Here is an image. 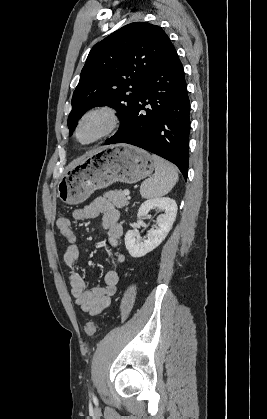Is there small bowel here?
I'll use <instances>...</instances> for the list:
<instances>
[{"mask_svg": "<svg viewBox=\"0 0 267 419\" xmlns=\"http://www.w3.org/2000/svg\"><path fill=\"white\" fill-rule=\"evenodd\" d=\"M101 216L102 227L107 231V241L112 248L119 246L123 228L118 222L119 212L114 205L104 197H97L88 205L74 210L75 220H85ZM67 247L63 260L68 270L71 294L81 310L91 316L98 315L111 304V298L116 293L119 275L116 270L118 264L125 262V257L118 253L110 260V268L104 275V286L87 288L85 279L77 271L79 248L74 241Z\"/></svg>", "mask_w": 267, "mask_h": 419, "instance_id": "small-bowel-1", "label": "small bowel"}]
</instances>
